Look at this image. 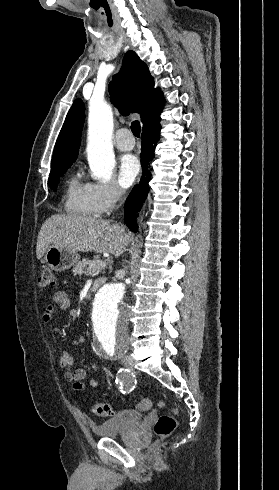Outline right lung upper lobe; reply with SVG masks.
I'll list each match as a JSON object with an SVG mask.
<instances>
[{"mask_svg":"<svg viewBox=\"0 0 279 490\" xmlns=\"http://www.w3.org/2000/svg\"><path fill=\"white\" fill-rule=\"evenodd\" d=\"M112 102L123 115L130 112L141 114L143 131L160 126V112L164 105L162 92L153 88V78L147 65L134 51H128L120 72L109 84ZM85 120L80 99L74 101L55 144L51 171L71 165L77 158L81 131Z\"/></svg>","mask_w":279,"mask_h":490,"instance_id":"cb5924a9","label":"right lung upper lobe"}]
</instances>
